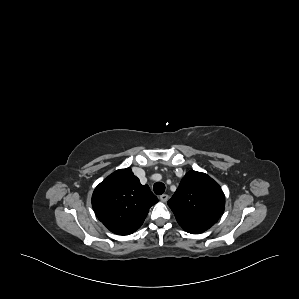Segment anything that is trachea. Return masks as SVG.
Wrapping results in <instances>:
<instances>
[{
	"instance_id": "trachea-1",
	"label": "trachea",
	"mask_w": 299,
	"mask_h": 299,
	"mask_svg": "<svg viewBox=\"0 0 299 299\" xmlns=\"http://www.w3.org/2000/svg\"><path fill=\"white\" fill-rule=\"evenodd\" d=\"M155 194L161 195L165 191V185L162 182H156L153 186Z\"/></svg>"
}]
</instances>
